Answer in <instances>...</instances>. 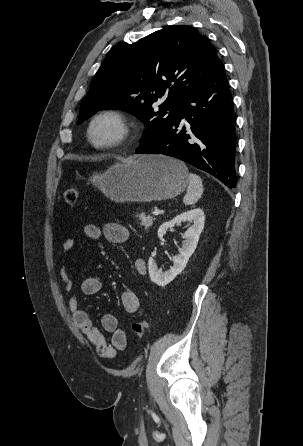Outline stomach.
I'll return each mask as SVG.
<instances>
[{"instance_id":"obj_1","label":"stomach","mask_w":303,"mask_h":446,"mask_svg":"<svg viewBox=\"0 0 303 446\" xmlns=\"http://www.w3.org/2000/svg\"><path fill=\"white\" fill-rule=\"evenodd\" d=\"M91 182L114 202H148L176 197L187 187L189 175L186 165L177 159L142 155L94 174Z\"/></svg>"}]
</instances>
